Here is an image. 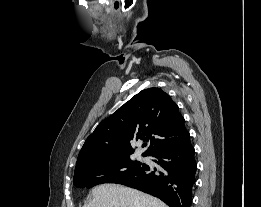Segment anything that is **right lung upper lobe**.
<instances>
[{
    "label": "right lung upper lobe",
    "mask_w": 261,
    "mask_h": 207,
    "mask_svg": "<svg viewBox=\"0 0 261 207\" xmlns=\"http://www.w3.org/2000/svg\"><path fill=\"white\" fill-rule=\"evenodd\" d=\"M184 122L167 93L159 88L142 90L96 127L80 150L75 169L130 155L134 152L131 142L138 140L150 143L144 156L178 146L190 137Z\"/></svg>",
    "instance_id": "cb5924a9"
}]
</instances>
